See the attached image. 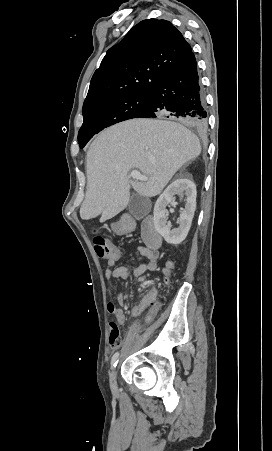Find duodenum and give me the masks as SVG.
<instances>
[{
	"instance_id": "1",
	"label": "duodenum",
	"mask_w": 272,
	"mask_h": 451,
	"mask_svg": "<svg viewBox=\"0 0 272 451\" xmlns=\"http://www.w3.org/2000/svg\"><path fill=\"white\" fill-rule=\"evenodd\" d=\"M135 224L130 219H125L116 225L115 230L119 234H126L132 231ZM142 236L144 243L151 250H157L162 243V238L157 230L154 220L152 218H147L142 222Z\"/></svg>"
}]
</instances>
